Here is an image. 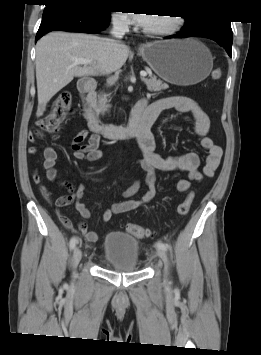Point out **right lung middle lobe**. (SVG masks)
Wrapping results in <instances>:
<instances>
[{
    "instance_id": "right-lung-middle-lobe-1",
    "label": "right lung middle lobe",
    "mask_w": 261,
    "mask_h": 355,
    "mask_svg": "<svg viewBox=\"0 0 261 355\" xmlns=\"http://www.w3.org/2000/svg\"><path fill=\"white\" fill-rule=\"evenodd\" d=\"M100 1L101 0H83V1H80V2L85 3V4H87V5L91 6V7H94L97 10L106 11L103 8V6H102Z\"/></svg>"
}]
</instances>
